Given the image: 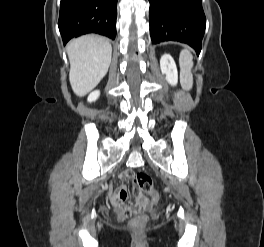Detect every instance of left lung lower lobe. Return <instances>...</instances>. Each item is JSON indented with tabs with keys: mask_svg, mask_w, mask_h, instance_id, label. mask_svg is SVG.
<instances>
[{
	"mask_svg": "<svg viewBox=\"0 0 264 247\" xmlns=\"http://www.w3.org/2000/svg\"><path fill=\"white\" fill-rule=\"evenodd\" d=\"M150 35L154 44L179 41L201 51L206 18L201 0H149Z\"/></svg>",
	"mask_w": 264,
	"mask_h": 247,
	"instance_id": "left-lung-lower-lobe-1",
	"label": "left lung lower lobe"
}]
</instances>
